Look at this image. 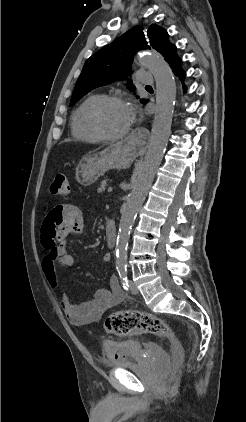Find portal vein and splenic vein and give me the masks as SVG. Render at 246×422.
Masks as SVG:
<instances>
[{
    "mask_svg": "<svg viewBox=\"0 0 246 422\" xmlns=\"http://www.w3.org/2000/svg\"><path fill=\"white\" fill-rule=\"evenodd\" d=\"M112 190H113V188H112V187H109V188H108V192H112Z\"/></svg>",
    "mask_w": 246,
    "mask_h": 422,
    "instance_id": "portal-vein-and-splenic-vein-1",
    "label": "portal vein and splenic vein"
}]
</instances>
